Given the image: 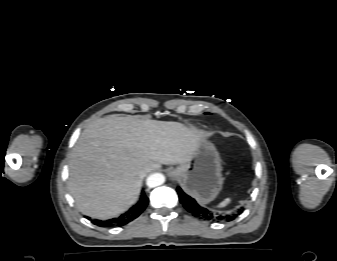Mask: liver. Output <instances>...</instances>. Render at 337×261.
I'll use <instances>...</instances> for the list:
<instances>
[{
  "mask_svg": "<svg viewBox=\"0 0 337 261\" xmlns=\"http://www.w3.org/2000/svg\"><path fill=\"white\" fill-rule=\"evenodd\" d=\"M203 136L173 121L134 116L94 121L80 135L69 159L68 186L77 208L97 219L120 215L137 201L142 172L189 162Z\"/></svg>",
  "mask_w": 337,
  "mask_h": 261,
  "instance_id": "obj_1",
  "label": "liver"
}]
</instances>
